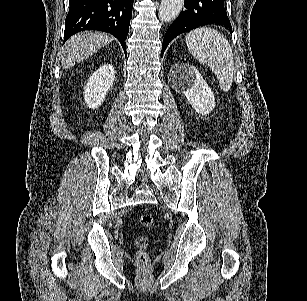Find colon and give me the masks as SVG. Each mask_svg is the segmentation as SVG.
<instances>
[{
    "label": "colon",
    "mask_w": 307,
    "mask_h": 301,
    "mask_svg": "<svg viewBox=\"0 0 307 301\" xmlns=\"http://www.w3.org/2000/svg\"><path fill=\"white\" fill-rule=\"evenodd\" d=\"M139 223L141 226L149 228L154 223V218L150 213H145L140 216ZM136 245L138 246L137 259L141 264H145L148 261V254L146 249L149 245V238L145 235H139L136 238Z\"/></svg>",
    "instance_id": "colon-1"
}]
</instances>
